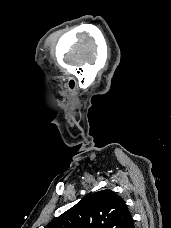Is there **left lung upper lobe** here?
<instances>
[{"label":"left lung upper lobe","mask_w":171,"mask_h":228,"mask_svg":"<svg viewBox=\"0 0 171 228\" xmlns=\"http://www.w3.org/2000/svg\"><path fill=\"white\" fill-rule=\"evenodd\" d=\"M130 217L125 201L106 189L85 197L47 228H123Z\"/></svg>","instance_id":"obj_1"}]
</instances>
